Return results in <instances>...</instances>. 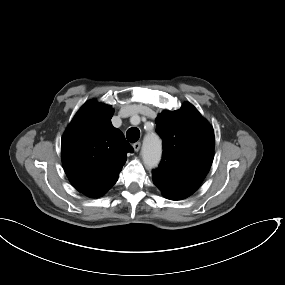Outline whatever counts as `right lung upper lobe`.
Here are the masks:
<instances>
[{"mask_svg": "<svg viewBox=\"0 0 285 285\" xmlns=\"http://www.w3.org/2000/svg\"><path fill=\"white\" fill-rule=\"evenodd\" d=\"M110 105L91 100L70 122L62 138V163L69 181L78 191L97 198L118 180L133 152L123 133L111 123Z\"/></svg>", "mask_w": 285, "mask_h": 285, "instance_id": "obj_1", "label": "right lung upper lobe"}]
</instances>
